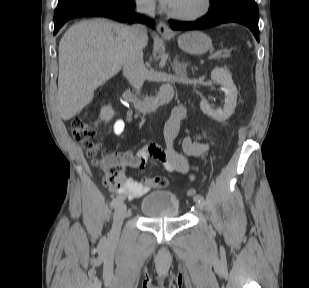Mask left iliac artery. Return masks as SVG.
<instances>
[{"label": "left iliac artery", "mask_w": 309, "mask_h": 288, "mask_svg": "<svg viewBox=\"0 0 309 288\" xmlns=\"http://www.w3.org/2000/svg\"><path fill=\"white\" fill-rule=\"evenodd\" d=\"M200 200H204L203 196L197 195V196L194 198V201H200Z\"/></svg>", "instance_id": "obj_1"}]
</instances>
